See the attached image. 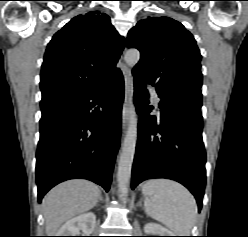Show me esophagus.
Segmentation results:
<instances>
[{"mask_svg":"<svg viewBox=\"0 0 248 237\" xmlns=\"http://www.w3.org/2000/svg\"><path fill=\"white\" fill-rule=\"evenodd\" d=\"M123 76H124V82H125V99L122 107V127L123 131L125 132L130 116V98L132 95V77H131V72L130 69L126 66L123 65L122 68Z\"/></svg>","mask_w":248,"mask_h":237,"instance_id":"1","label":"esophagus"}]
</instances>
